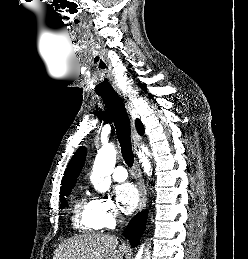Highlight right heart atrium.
<instances>
[{
  "label": "right heart atrium",
  "instance_id": "right-heart-atrium-1",
  "mask_svg": "<svg viewBox=\"0 0 248 259\" xmlns=\"http://www.w3.org/2000/svg\"><path fill=\"white\" fill-rule=\"evenodd\" d=\"M93 204L100 228H112L119 221V210L110 197H97Z\"/></svg>",
  "mask_w": 248,
  "mask_h": 259
}]
</instances>
